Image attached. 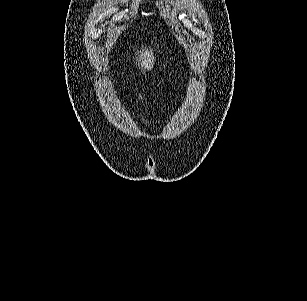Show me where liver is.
Segmentation results:
<instances>
[{"label":"liver","mask_w":307,"mask_h":301,"mask_svg":"<svg viewBox=\"0 0 307 301\" xmlns=\"http://www.w3.org/2000/svg\"><path fill=\"white\" fill-rule=\"evenodd\" d=\"M136 54H138V56H135L134 62L138 64L139 68L141 66V70H143V72H146V70H151V68H153L155 56L152 50H150V48L142 46V50H137Z\"/></svg>","instance_id":"6515ba94"}]
</instances>
